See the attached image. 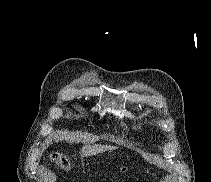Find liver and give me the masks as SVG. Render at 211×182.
I'll list each match as a JSON object with an SVG mask.
<instances>
[{
    "mask_svg": "<svg viewBox=\"0 0 211 182\" xmlns=\"http://www.w3.org/2000/svg\"><path fill=\"white\" fill-rule=\"evenodd\" d=\"M113 146H107V145H85L82 147L80 153L84 154L85 156H93L97 155L101 152H105L107 150L114 149Z\"/></svg>",
    "mask_w": 211,
    "mask_h": 182,
    "instance_id": "1",
    "label": "liver"
}]
</instances>
